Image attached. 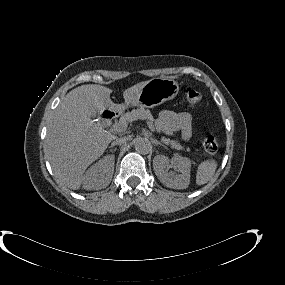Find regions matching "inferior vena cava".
<instances>
[{"mask_svg":"<svg viewBox=\"0 0 285 285\" xmlns=\"http://www.w3.org/2000/svg\"><path fill=\"white\" fill-rule=\"evenodd\" d=\"M127 142V138L126 137H121V138H117L113 144L114 145H122L125 144Z\"/></svg>","mask_w":285,"mask_h":285,"instance_id":"obj_1","label":"inferior vena cava"}]
</instances>
